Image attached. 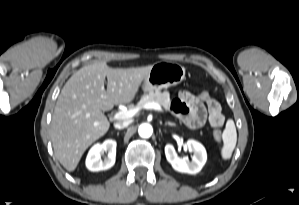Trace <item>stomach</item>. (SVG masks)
<instances>
[{"label": "stomach", "mask_w": 299, "mask_h": 205, "mask_svg": "<svg viewBox=\"0 0 299 205\" xmlns=\"http://www.w3.org/2000/svg\"><path fill=\"white\" fill-rule=\"evenodd\" d=\"M185 78V68L171 62H157L143 81V90L153 92L178 85Z\"/></svg>", "instance_id": "obj_1"}]
</instances>
